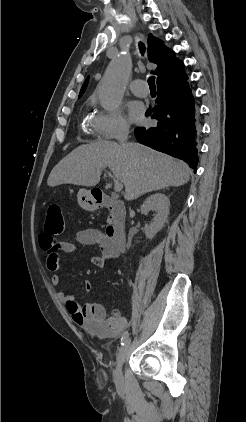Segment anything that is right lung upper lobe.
Listing matches in <instances>:
<instances>
[{"label": "right lung upper lobe", "instance_id": "right-lung-upper-lobe-1", "mask_svg": "<svg viewBox=\"0 0 246 422\" xmlns=\"http://www.w3.org/2000/svg\"><path fill=\"white\" fill-rule=\"evenodd\" d=\"M148 58L157 64L156 71L157 85L172 82L185 75L184 64L177 59L174 52L165 47L161 40L149 34L148 37ZM88 84V79L84 82L79 97L82 96Z\"/></svg>", "mask_w": 246, "mask_h": 422}]
</instances>
